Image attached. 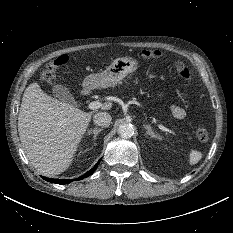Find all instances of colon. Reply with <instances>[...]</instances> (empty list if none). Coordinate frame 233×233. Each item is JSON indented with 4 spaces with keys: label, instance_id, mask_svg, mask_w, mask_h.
<instances>
[{
    "label": "colon",
    "instance_id": "colon-1",
    "mask_svg": "<svg viewBox=\"0 0 233 233\" xmlns=\"http://www.w3.org/2000/svg\"><path fill=\"white\" fill-rule=\"evenodd\" d=\"M141 56L145 59H154L161 57L162 52L159 50L146 49L141 52ZM68 61L69 57L67 55L58 56L41 70L42 78L46 81H51L54 78V69L67 64ZM176 66L178 68L179 75L183 79L187 81H190L192 79V71L187 65H182L180 62H176ZM196 136L200 141H207L209 134L205 128L199 127L196 131Z\"/></svg>",
    "mask_w": 233,
    "mask_h": 233
}]
</instances>
